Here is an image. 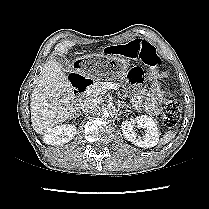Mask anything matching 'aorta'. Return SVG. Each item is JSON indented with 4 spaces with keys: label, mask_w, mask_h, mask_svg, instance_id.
<instances>
[{
    "label": "aorta",
    "mask_w": 209,
    "mask_h": 209,
    "mask_svg": "<svg viewBox=\"0 0 209 209\" xmlns=\"http://www.w3.org/2000/svg\"><path fill=\"white\" fill-rule=\"evenodd\" d=\"M116 114L117 110L112 104H107L102 108V115L105 118H113L116 116Z\"/></svg>",
    "instance_id": "762f6f07"
}]
</instances>
